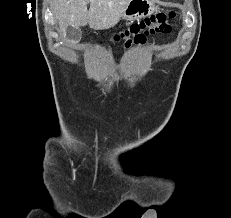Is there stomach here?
<instances>
[{"label":"stomach","mask_w":231,"mask_h":218,"mask_svg":"<svg viewBox=\"0 0 231 218\" xmlns=\"http://www.w3.org/2000/svg\"><path fill=\"white\" fill-rule=\"evenodd\" d=\"M155 10V0H129L121 18L127 21L139 20L151 15Z\"/></svg>","instance_id":"stomach-1"}]
</instances>
